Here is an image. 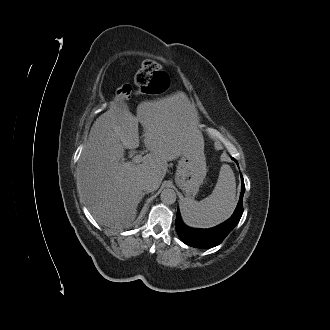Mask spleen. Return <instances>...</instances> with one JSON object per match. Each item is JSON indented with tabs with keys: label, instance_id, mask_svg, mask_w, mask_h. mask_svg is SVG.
<instances>
[{
	"label": "spleen",
	"instance_id": "obj_1",
	"mask_svg": "<svg viewBox=\"0 0 330 330\" xmlns=\"http://www.w3.org/2000/svg\"><path fill=\"white\" fill-rule=\"evenodd\" d=\"M235 198L236 182L233 170L228 164H223L211 195L199 202L190 198L183 199V220L191 227H214L232 215L236 206Z\"/></svg>",
	"mask_w": 330,
	"mask_h": 330
}]
</instances>
